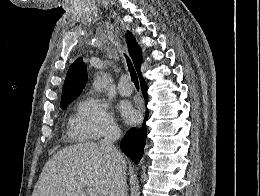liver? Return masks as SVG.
<instances>
[{
    "instance_id": "obj_1",
    "label": "liver",
    "mask_w": 260,
    "mask_h": 196,
    "mask_svg": "<svg viewBox=\"0 0 260 196\" xmlns=\"http://www.w3.org/2000/svg\"><path fill=\"white\" fill-rule=\"evenodd\" d=\"M117 168L96 142L68 146L45 164L32 196H85V188L109 196Z\"/></svg>"
}]
</instances>
